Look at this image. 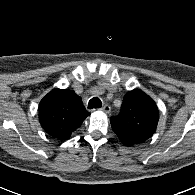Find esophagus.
<instances>
[{"mask_svg": "<svg viewBox=\"0 0 195 195\" xmlns=\"http://www.w3.org/2000/svg\"><path fill=\"white\" fill-rule=\"evenodd\" d=\"M100 110L103 111V112H105V113H110L111 107L106 104L102 108H100Z\"/></svg>", "mask_w": 195, "mask_h": 195, "instance_id": "esophagus-1", "label": "esophagus"}]
</instances>
